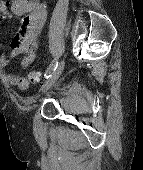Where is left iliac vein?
<instances>
[{"mask_svg": "<svg viewBox=\"0 0 143 170\" xmlns=\"http://www.w3.org/2000/svg\"><path fill=\"white\" fill-rule=\"evenodd\" d=\"M65 67V60H61L59 65L57 66L56 70L52 73L49 79L43 84L41 91L45 93L50 87L57 81V79L62 74Z\"/></svg>", "mask_w": 143, "mask_h": 170, "instance_id": "4c4485c4", "label": "left iliac vein"}]
</instances>
